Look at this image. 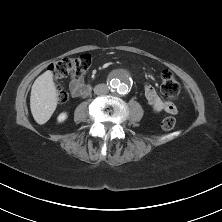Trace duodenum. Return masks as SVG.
<instances>
[{"label":"duodenum","instance_id":"1","mask_svg":"<svg viewBox=\"0 0 222 222\" xmlns=\"http://www.w3.org/2000/svg\"><path fill=\"white\" fill-rule=\"evenodd\" d=\"M90 91H91V87L90 86L84 87V94H88Z\"/></svg>","mask_w":222,"mask_h":222}]
</instances>
